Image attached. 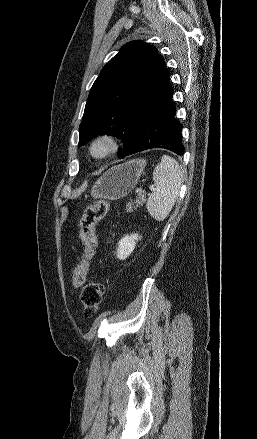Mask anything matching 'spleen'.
I'll return each mask as SVG.
<instances>
[{"instance_id":"obj_1","label":"spleen","mask_w":257,"mask_h":439,"mask_svg":"<svg viewBox=\"0 0 257 439\" xmlns=\"http://www.w3.org/2000/svg\"><path fill=\"white\" fill-rule=\"evenodd\" d=\"M183 173L178 162L167 155L161 157L160 163L153 171L155 190L147 200V211L156 221H163L172 210L179 194Z\"/></svg>"}]
</instances>
